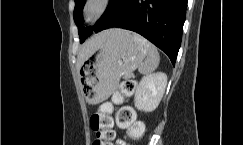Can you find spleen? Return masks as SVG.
I'll return each mask as SVG.
<instances>
[{
  "mask_svg": "<svg viewBox=\"0 0 243 145\" xmlns=\"http://www.w3.org/2000/svg\"><path fill=\"white\" fill-rule=\"evenodd\" d=\"M141 41L147 48V58L144 60L143 63L140 64L138 71L141 74L147 75L152 73L158 67L160 57L158 50L155 46L148 43L145 39H142Z\"/></svg>",
  "mask_w": 243,
  "mask_h": 145,
  "instance_id": "spleen-1",
  "label": "spleen"
}]
</instances>
